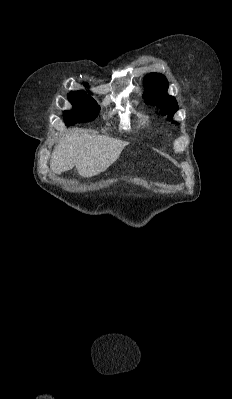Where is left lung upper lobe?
Returning <instances> with one entry per match:
<instances>
[{
  "label": "left lung upper lobe",
  "instance_id": "obj_1",
  "mask_svg": "<svg viewBox=\"0 0 232 399\" xmlns=\"http://www.w3.org/2000/svg\"><path fill=\"white\" fill-rule=\"evenodd\" d=\"M168 81L166 77L160 73L148 74L144 79L145 102L151 105H157L162 109V115L168 114L171 120L174 113L178 110V104L173 96L167 93Z\"/></svg>",
  "mask_w": 232,
  "mask_h": 399
}]
</instances>
